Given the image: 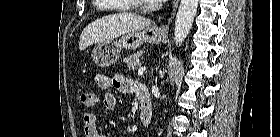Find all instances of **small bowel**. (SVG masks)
Listing matches in <instances>:
<instances>
[{
  "label": "small bowel",
  "instance_id": "1",
  "mask_svg": "<svg viewBox=\"0 0 280 137\" xmlns=\"http://www.w3.org/2000/svg\"><path fill=\"white\" fill-rule=\"evenodd\" d=\"M96 84L104 89L115 88L123 93L136 92L138 86L131 82L129 79L123 77L121 74H115L114 76H108L103 73H99L95 77ZM104 107L107 110H114L117 106V99L114 94L107 92L103 100ZM82 124L86 137H103L98 131L96 116L93 113L85 112L82 114Z\"/></svg>",
  "mask_w": 280,
  "mask_h": 137
}]
</instances>
